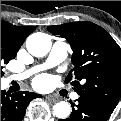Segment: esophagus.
Listing matches in <instances>:
<instances>
[{
    "instance_id": "obj_1",
    "label": "esophagus",
    "mask_w": 121,
    "mask_h": 121,
    "mask_svg": "<svg viewBox=\"0 0 121 121\" xmlns=\"http://www.w3.org/2000/svg\"><path fill=\"white\" fill-rule=\"evenodd\" d=\"M47 101L51 102V103H56L57 102V98L53 95H48L45 97Z\"/></svg>"
}]
</instances>
